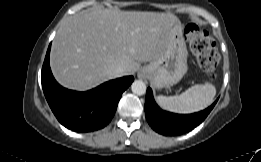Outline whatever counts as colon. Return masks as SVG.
Here are the masks:
<instances>
[{"mask_svg": "<svg viewBox=\"0 0 261 162\" xmlns=\"http://www.w3.org/2000/svg\"><path fill=\"white\" fill-rule=\"evenodd\" d=\"M184 32L200 68L209 76H213L220 56L214 48L209 32L193 24L187 25Z\"/></svg>", "mask_w": 261, "mask_h": 162, "instance_id": "5ec220e1", "label": "colon"}]
</instances>
